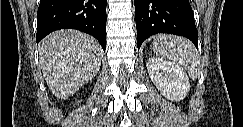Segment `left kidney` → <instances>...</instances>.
I'll return each instance as SVG.
<instances>
[{
	"mask_svg": "<svg viewBox=\"0 0 243 127\" xmlns=\"http://www.w3.org/2000/svg\"><path fill=\"white\" fill-rule=\"evenodd\" d=\"M147 70L161 94L172 101L183 100L190 91L189 78L178 64L160 58H150L147 61Z\"/></svg>",
	"mask_w": 243,
	"mask_h": 127,
	"instance_id": "obj_1",
	"label": "left kidney"
}]
</instances>
